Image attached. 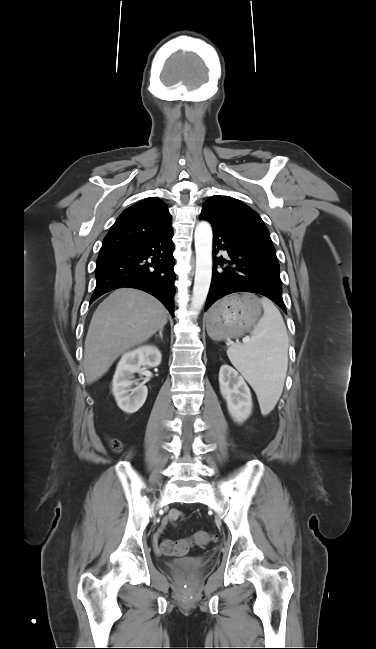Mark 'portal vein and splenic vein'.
Here are the masks:
<instances>
[{
    "instance_id": "obj_1",
    "label": "portal vein and splenic vein",
    "mask_w": 376,
    "mask_h": 649,
    "mask_svg": "<svg viewBox=\"0 0 376 649\" xmlns=\"http://www.w3.org/2000/svg\"><path fill=\"white\" fill-rule=\"evenodd\" d=\"M244 342H246V343H247V342H250V338H245V339H244Z\"/></svg>"
}]
</instances>
